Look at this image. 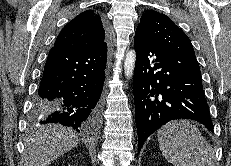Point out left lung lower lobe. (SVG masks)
<instances>
[{
  "label": "left lung lower lobe",
  "instance_id": "1",
  "mask_svg": "<svg viewBox=\"0 0 231 166\" xmlns=\"http://www.w3.org/2000/svg\"><path fill=\"white\" fill-rule=\"evenodd\" d=\"M134 48L139 151L153 132L174 119H192L213 132L196 56L159 47L137 32Z\"/></svg>",
  "mask_w": 231,
  "mask_h": 166
}]
</instances>
